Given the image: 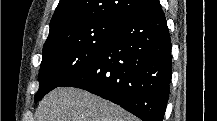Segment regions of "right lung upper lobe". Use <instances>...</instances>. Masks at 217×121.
Wrapping results in <instances>:
<instances>
[{
  "instance_id": "1",
  "label": "right lung upper lobe",
  "mask_w": 217,
  "mask_h": 121,
  "mask_svg": "<svg viewBox=\"0 0 217 121\" xmlns=\"http://www.w3.org/2000/svg\"><path fill=\"white\" fill-rule=\"evenodd\" d=\"M153 0H60L50 22L48 44L71 28L98 20L125 22ZM44 44V45H45Z\"/></svg>"
}]
</instances>
